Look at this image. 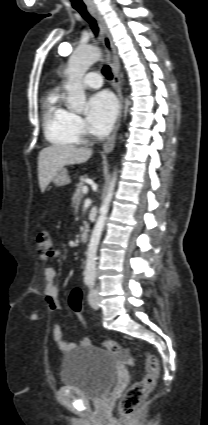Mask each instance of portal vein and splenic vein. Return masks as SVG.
<instances>
[{"mask_svg": "<svg viewBox=\"0 0 208 425\" xmlns=\"http://www.w3.org/2000/svg\"><path fill=\"white\" fill-rule=\"evenodd\" d=\"M82 191H83L84 194H87L88 193V187L84 186Z\"/></svg>", "mask_w": 208, "mask_h": 425, "instance_id": "portal-vein-and-splenic-vein-1", "label": "portal vein and splenic vein"}]
</instances>
